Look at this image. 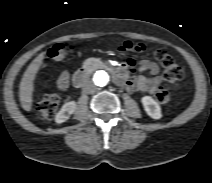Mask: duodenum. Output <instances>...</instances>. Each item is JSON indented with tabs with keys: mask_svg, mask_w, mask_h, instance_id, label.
Instances as JSON below:
<instances>
[{
	"mask_svg": "<svg viewBox=\"0 0 212 183\" xmlns=\"http://www.w3.org/2000/svg\"><path fill=\"white\" fill-rule=\"evenodd\" d=\"M90 74L89 66L85 65L81 67L74 75L73 81L76 87H81L86 81L87 77ZM114 79L117 81L122 77L121 70L115 71L113 74Z\"/></svg>",
	"mask_w": 212,
	"mask_h": 183,
	"instance_id": "obj_1",
	"label": "duodenum"
}]
</instances>
